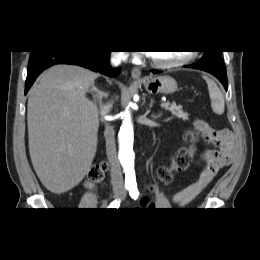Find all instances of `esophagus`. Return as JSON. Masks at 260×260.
<instances>
[{
  "instance_id": "obj_1",
  "label": "esophagus",
  "mask_w": 260,
  "mask_h": 260,
  "mask_svg": "<svg viewBox=\"0 0 260 260\" xmlns=\"http://www.w3.org/2000/svg\"><path fill=\"white\" fill-rule=\"evenodd\" d=\"M131 76L135 80H140L141 79V70L138 67H134L131 71Z\"/></svg>"
}]
</instances>
